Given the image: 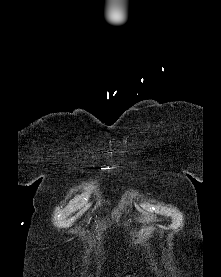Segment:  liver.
I'll return each mask as SVG.
<instances>
[{"label": "liver", "mask_w": 221, "mask_h": 277, "mask_svg": "<svg viewBox=\"0 0 221 277\" xmlns=\"http://www.w3.org/2000/svg\"><path fill=\"white\" fill-rule=\"evenodd\" d=\"M144 238H145V237L139 238V239L137 240V243H138L139 241H142Z\"/></svg>", "instance_id": "obj_1"}]
</instances>
